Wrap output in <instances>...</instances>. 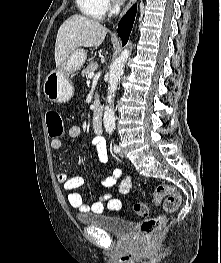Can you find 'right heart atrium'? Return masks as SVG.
I'll return each mask as SVG.
<instances>
[{
    "instance_id": "d8ad5b80",
    "label": "right heart atrium",
    "mask_w": 221,
    "mask_h": 263,
    "mask_svg": "<svg viewBox=\"0 0 221 263\" xmlns=\"http://www.w3.org/2000/svg\"><path fill=\"white\" fill-rule=\"evenodd\" d=\"M102 1L106 10L112 11L116 8L115 0H102Z\"/></svg>"
}]
</instances>
